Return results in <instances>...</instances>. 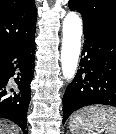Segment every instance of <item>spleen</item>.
I'll use <instances>...</instances> for the list:
<instances>
[{"instance_id":"1","label":"spleen","mask_w":116,"mask_h":134,"mask_svg":"<svg viewBox=\"0 0 116 134\" xmlns=\"http://www.w3.org/2000/svg\"><path fill=\"white\" fill-rule=\"evenodd\" d=\"M99 127L106 134H116V108L90 106L75 112L69 123L71 134H95Z\"/></svg>"}]
</instances>
